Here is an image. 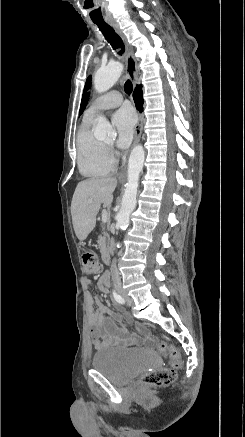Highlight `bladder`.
Wrapping results in <instances>:
<instances>
[{
	"mask_svg": "<svg viewBox=\"0 0 245 437\" xmlns=\"http://www.w3.org/2000/svg\"><path fill=\"white\" fill-rule=\"evenodd\" d=\"M157 363L158 357L152 351L110 347L96 352L91 365L114 384L124 385Z\"/></svg>",
	"mask_w": 245,
	"mask_h": 437,
	"instance_id": "obj_1",
	"label": "bladder"
}]
</instances>
